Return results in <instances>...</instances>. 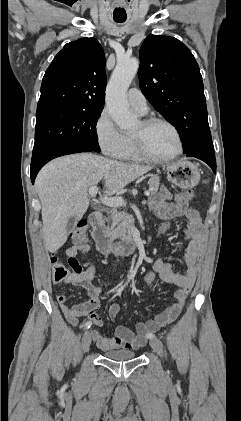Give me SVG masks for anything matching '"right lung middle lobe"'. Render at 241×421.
Here are the masks:
<instances>
[{"label": "right lung middle lobe", "mask_w": 241, "mask_h": 421, "mask_svg": "<svg viewBox=\"0 0 241 421\" xmlns=\"http://www.w3.org/2000/svg\"><path fill=\"white\" fill-rule=\"evenodd\" d=\"M101 112L66 107L37 110L33 155L67 146L100 152L95 129Z\"/></svg>", "instance_id": "dd1d6c3e"}]
</instances>
